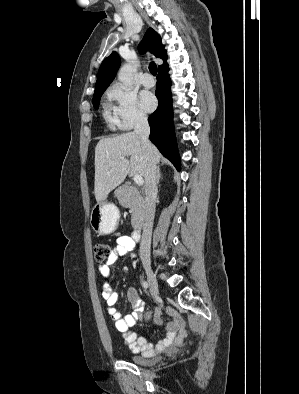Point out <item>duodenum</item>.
I'll return each instance as SVG.
<instances>
[{
  "instance_id": "duodenum-1",
  "label": "duodenum",
  "mask_w": 299,
  "mask_h": 394,
  "mask_svg": "<svg viewBox=\"0 0 299 394\" xmlns=\"http://www.w3.org/2000/svg\"><path fill=\"white\" fill-rule=\"evenodd\" d=\"M141 237V228H136L132 233V238L134 241H139Z\"/></svg>"
}]
</instances>
